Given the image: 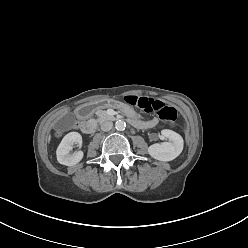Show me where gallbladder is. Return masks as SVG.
I'll use <instances>...</instances> for the list:
<instances>
[{
  "mask_svg": "<svg viewBox=\"0 0 248 248\" xmlns=\"http://www.w3.org/2000/svg\"><path fill=\"white\" fill-rule=\"evenodd\" d=\"M73 121H74V118L71 119V125L73 124ZM63 126H64V122L63 121L58 122L57 128L60 129V128H63Z\"/></svg>",
  "mask_w": 248,
  "mask_h": 248,
  "instance_id": "gallbladder-1",
  "label": "gallbladder"
}]
</instances>
